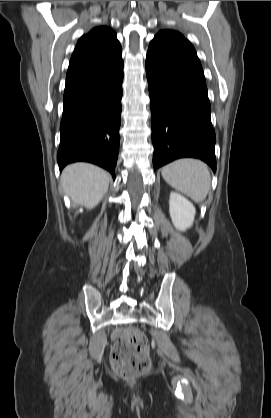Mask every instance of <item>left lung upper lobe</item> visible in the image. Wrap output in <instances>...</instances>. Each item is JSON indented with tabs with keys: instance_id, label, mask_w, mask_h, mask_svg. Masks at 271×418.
<instances>
[{
	"instance_id": "left-lung-upper-lobe-1",
	"label": "left lung upper lobe",
	"mask_w": 271,
	"mask_h": 418,
	"mask_svg": "<svg viewBox=\"0 0 271 418\" xmlns=\"http://www.w3.org/2000/svg\"><path fill=\"white\" fill-rule=\"evenodd\" d=\"M154 38L161 39L170 45L177 47L185 54L199 61L194 47L181 33L173 30H162L158 32Z\"/></svg>"
}]
</instances>
